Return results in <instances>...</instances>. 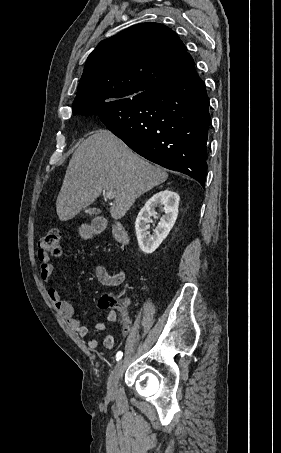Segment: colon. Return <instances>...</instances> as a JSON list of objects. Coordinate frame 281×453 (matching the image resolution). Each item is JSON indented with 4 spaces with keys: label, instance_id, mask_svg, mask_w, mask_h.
<instances>
[{
    "label": "colon",
    "instance_id": "colon-1",
    "mask_svg": "<svg viewBox=\"0 0 281 453\" xmlns=\"http://www.w3.org/2000/svg\"><path fill=\"white\" fill-rule=\"evenodd\" d=\"M63 254L61 231L57 227H49L47 234L41 239V249L38 254L40 262L57 259Z\"/></svg>",
    "mask_w": 281,
    "mask_h": 453
}]
</instances>
